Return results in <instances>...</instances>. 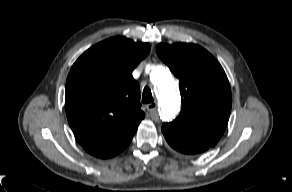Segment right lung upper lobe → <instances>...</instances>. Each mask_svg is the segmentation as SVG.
Segmentation results:
<instances>
[{"label": "right lung upper lobe", "instance_id": "1", "mask_svg": "<svg viewBox=\"0 0 292 192\" xmlns=\"http://www.w3.org/2000/svg\"><path fill=\"white\" fill-rule=\"evenodd\" d=\"M149 52L148 43L117 36L92 46L74 63L65 108L80 145H113L135 134L145 115L132 71Z\"/></svg>", "mask_w": 292, "mask_h": 192}]
</instances>
